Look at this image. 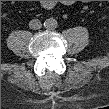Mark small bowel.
<instances>
[{
	"instance_id": "small-bowel-1",
	"label": "small bowel",
	"mask_w": 109,
	"mask_h": 109,
	"mask_svg": "<svg viewBox=\"0 0 109 109\" xmlns=\"http://www.w3.org/2000/svg\"><path fill=\"white\" fill-rule=\"evenodd\" d=\"M43 5L46 8H50L52 6V2L51 1H45Z\"/></svg>"
}]
</instances>
